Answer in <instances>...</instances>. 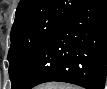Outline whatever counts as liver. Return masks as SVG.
<instances>
[{
	"label": "liver",
	"mask_w": 107,
	"mask_h": 89,
	"mask_svg": "<svg viewBox=\"0 0 107 89\" xmlns=\"http://www.w3.org/2000/svg\"><path fill=\"white\" fill-rule=\"evenodd\" d=\"M56 85H59V84H57V83H49V84H46V85L39 86V89H55L54 87Z\"/></svg>",
	"instance_id": "obj_1"
}]
</instances>
